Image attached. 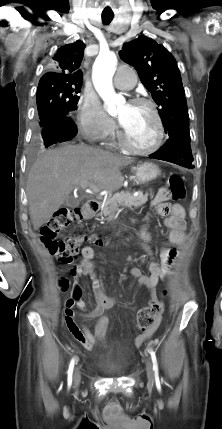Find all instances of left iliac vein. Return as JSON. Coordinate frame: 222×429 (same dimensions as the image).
I'll return each instance as SVG.
<instances>
[{"mask_svg": "<svg viewBox=\"0 0 222 429\" xmlns=\"http://www.w3.org/2000/svg\"><path fill=\"white\" fill-rule=\"evenodd\" d=\"M145 364H146V373H147V377H148V383L154 384V370H153V366H152V362H151L150 358H148V357L145 358Z\"/></svg>", "mask_w": 222, "mask_h": 429, "instance_id": "4c4485c4", "label": "left iliac vein"}]
</instances>
